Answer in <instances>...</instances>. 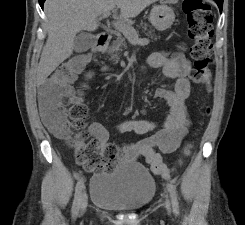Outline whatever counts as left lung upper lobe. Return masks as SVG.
Returning a JSON list of instances; mask_svg holds the SVG:
<instances>
[{"mask_svg":"<svg viewBox=\"0 0 245 225\" xmlns=\"http://www.w3.org/2000/svg\"><path fill=\"white\" fill-rule=\"evenodd\" d=\"M215 1H223V0H215Z\"/></svg>","mask_w":245,"mask_h":225,"instance_id":"obj_1","label":"left lung upper lobe"}]
</instances>
